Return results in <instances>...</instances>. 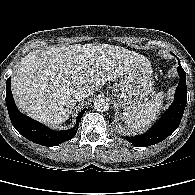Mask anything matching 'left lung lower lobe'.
<instances>
[{
	"instance_id": "left-lung-lower-lobe-1",
	"label": "left lung lower lobe",
	"mask_w": 195,
	"mask_h": 195,
	"mask_svg": "<svg viewBox=\"0 0 195 195\" xmlns=\"http://www.w3.org/2000/svg\"><path fill=\"white\" fill-rule=\"evenodd\" d=\"M180 82L175 92V99L162 117L144 134L126 137L134 145L147 147L166 139L179 126L187 103L186 73L180 65L177 68Z\"/></svg>"
}]
</instances>
